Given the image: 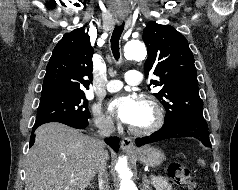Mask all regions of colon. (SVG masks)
<instances>
[{
    "instance_id": "5ec220e1",
    "label": "colon",
    "mask_w": 238,
    "mask_h": 190,
    "mask_svg": "<svg viewBox=\"0 0 238 190\" xmlns=\"http://www.w3.org/2000/svg\"><path fill=\"white\" fill-rule=\"evenodd\" d=\"M168 174L176 184L185 186L188 190H198L193 181L192 172L187 166L173 163L168 168Z\"/></svg>"
}]
</instances>
